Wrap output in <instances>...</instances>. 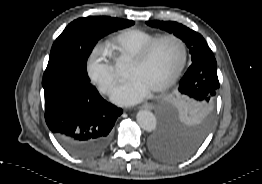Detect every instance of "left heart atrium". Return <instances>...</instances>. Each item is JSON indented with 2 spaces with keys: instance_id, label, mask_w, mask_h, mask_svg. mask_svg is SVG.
Listing matches in <instances>:
<instances>
[{
  "instance_id": "obj_1",
  "label": "left heart atrium",
  "mask_w": 262,
  "mask_h": 184,
  "mask_svg": "<svg viewBox=\"0 0 262 184\" xmlns=\"http://www.w3.org/2000/svg\"><path fill=\"white\" fill-rule=\"evenodd\" d=\"M151 88L138 77L122 81L112 92L111 99L120 105H132L145 99Z\"/></svg>"
}]
</instances>
